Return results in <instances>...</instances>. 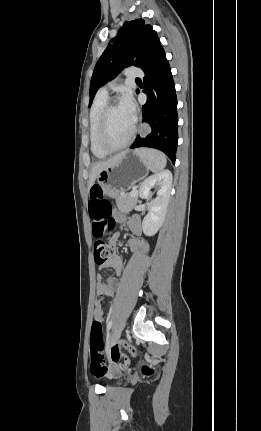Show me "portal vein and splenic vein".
Returning a JSON list of instances; mask_svg holds the SVG:
<instances>
[{"mask_svg":"<svg viewBox=\"0 0 261 431\" xmlns=\"http://www.w3.org/2000/svg\"><path fill=\"white\" fill-rule=\"evenodd\" d=\"M138 194V191L137 190H132L131 192H130V196H136Z\"/></svg>","mask_w":261,"mask_h":431,"instance_id":"1","label":"portal vein and splenic vein"}]
</instances>
